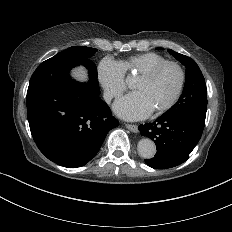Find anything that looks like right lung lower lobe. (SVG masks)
<instances>
[{"label":"right lung lower lobe","mask_w":232,"mask_h":232,"mask_svg":"<svg viewBox=\"0 0 232 232\" xmlns=\"http://www.w3.org/2000/svg\"><path fill=\"white\" fill-rule=\"evenodd\" d=\"M91 64L89 58H50L37 67L27 91V116L36 145L48 159L68 168L88 163L107 133L119 125L99 97L97 77L89 69L88 83L69 76L73 67Z\"/></svg>","instance_id":"1"}]
</instances>
